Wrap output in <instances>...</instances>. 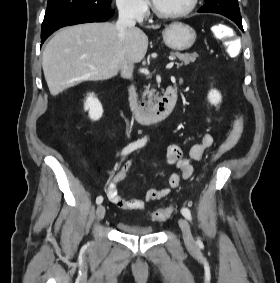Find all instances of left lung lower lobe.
<instances>
[{"instance_id": "obj_1", "label": "left lung lower lobe", "mask_w": 280, "mask_h": 283, "mask_svg": "<svg viewBox=\"0 0 280 283\" xmlns=\"http://www.w3.org/2000/svg\"><path fill=\"white\" fill-rule=\"evenodd\" d=\"M229 19L234 21L238 25V27L243 31L242 20L241 19H239V18H229Z\"/></svg>"}]
</instances>
